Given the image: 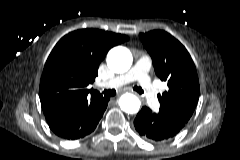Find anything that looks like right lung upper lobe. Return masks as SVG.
Returning a JSON list of instances; mask_svg holds the SVG:
<instances>
[{
    "mask_svg": "<svg viewBox=\"0 0 240 160\" xmlns=\"http://www.w3.org/2000/svg\"><path fill=\"white\" fill-rule=\"evenodd\" d=\"M128 39L122 34L82 29L59 40L46 61L40 81V101L48 122L102 97L87 86L98 75L99 64L108 50Z\"/></svg>",
    "mask_w": 240,
    "mask_h": 160,
    "instance_id": "obj_1",
    "label": "right lung upper lobe"
}]
</instances>
